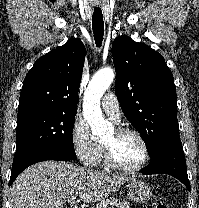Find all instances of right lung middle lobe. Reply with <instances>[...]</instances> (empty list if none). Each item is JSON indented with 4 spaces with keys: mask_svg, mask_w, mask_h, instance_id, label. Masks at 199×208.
Segmentation results:
<instances>
[{
    "mask_svg": "<svg viewBox=\"0 0 199 208\" xmlns=\"http://www.w3.org/2000/svg\"><path fill=\"white\" fill-rule=\"evenodd\" d=\"M75 114L40 109L18 112L13 163L44 151H55L74 160L72 132Z\"/></svg>",
    "mask_w": 199,
    "mask_h": 208,
    "instance_id": "1",
    "label": "right lung middle lobe"
}]
</instances>
